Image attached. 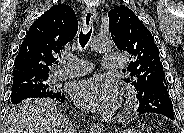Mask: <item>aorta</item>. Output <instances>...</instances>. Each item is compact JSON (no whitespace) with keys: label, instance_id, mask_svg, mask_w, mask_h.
<instances>
[{"label":"aorta","instance_id":"762f6f07","mask_svg":"<svg viewBox=\"0 0 184 133\" xmlns=\"http://www.w3.org/2000/svg\"><path fill=\"white\" fill-rule=\"evenodd\" d=\"M90 47L96 52H106L112 49V42L107 38L95 36L90 42Z\"/></svg>","mask_w":184,"mask_h":133}]
</instances>
